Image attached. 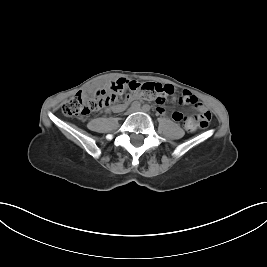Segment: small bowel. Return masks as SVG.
<instances>
[{"label": "small bowel", "instance_id": "obj_1", "mask_svg": "<svg viewBox=\"0 0 267 267\" xmlns=\"http://www.w3.org/2000/svg\"><path fill=\"white\" fill-rule=\"evenodd\" d=\"M132 98H139V96H133L129 100H131ZM127 105H128V102H125L123 104L116 105V106H114L112 108V111H114V112L123 111V110L126 109ZM202 107L206 109V107L203 104H202ZM157 110H158V113H160L162 115L165 113V110L162 107H158ZM173 114H180L181 117L178 120H175L173 118ZM173 114H172V119L174 121H176V122L183 121V125H184V127H185L186 130H188L190 132H193V131H195L197 129L196 125L193 122H191L190 117L184 118L183 115L180 112H174Z\"/></svg>", "mask_w": 267, "mask_h": 267}]
</instances>
